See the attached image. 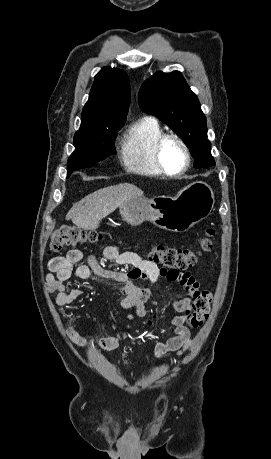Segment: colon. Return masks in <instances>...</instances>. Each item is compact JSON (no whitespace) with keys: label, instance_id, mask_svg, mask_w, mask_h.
<instances>
[{"label":"colon","instance_id":"1","mask_svg":"<svg viewBox=\"0 0 271 459\" xmlns=\"http://www.w3.org/2000/svg\"><path fill=\"white\" fill-rule=\"evenodd\" d=\"M215 232L212 228L203 231L202 236L195 247L169 248L161 244L155 245L148 253L150 261L160 264L169 271H184L197 262L199 257L211 251L212 239ZM102 239V234L96 231L85 230L81 227L65 224L60 226L52 234L49 243V252H58L68 246L94 244ZM213 293L210 290H201L195 299L192 309L185 315V322L192 328H197L207 319ZM158 321V315L154 314L148 325L153 326Z\"/></svg>","mask_w":271,"mask_h":459}]
</instances>
